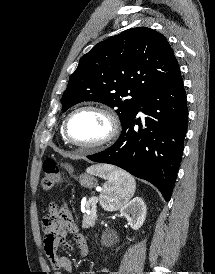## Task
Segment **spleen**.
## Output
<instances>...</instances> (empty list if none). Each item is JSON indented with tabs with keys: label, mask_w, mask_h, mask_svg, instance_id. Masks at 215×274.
<instances>
[{
	"label": "spleen",
	"mask_w": 215,
	"mask_h": 274,
	"mask_svg": "<svg viewBox=\"0 0 215 274\" xmlns=\"http://www.w3.org/2000/svg\"><path fill=\"white\" fill-rule=\"evenodd\" d=\"M87 172L107 179L100 194V204L107 211L122 207L134 195L135 179L121 169L110 165H96L89 167Z\"/></svg>",
	"instance_id": "spleen-1"
}]
</instances>
